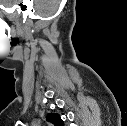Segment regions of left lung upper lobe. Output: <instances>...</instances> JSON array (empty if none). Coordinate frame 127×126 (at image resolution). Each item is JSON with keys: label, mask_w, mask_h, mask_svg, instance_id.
<instances>
[{"label": "left lung upper lobe", "mask_w": 127, "mask_h": 126, "mask_svg": "<svg viewBox=\"0 0 127 126\" xmlns=\"http://www.w3.org/2000/svg\"><path fill=\"white\" fill-rule=\"evenodd\" d=\"M47 121L54 124V126H63V121L60 119L58 114L50 113L47 115Z\"/></svg>", "instance_id": "5c2ea615"}]
</instances>
